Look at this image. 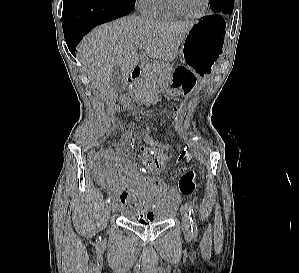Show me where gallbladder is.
Segmentation results:
<instances>
[{
  "instance_id": "1",
  "label": "gallbladder",
  "mask_w": 299,
  "mask_h": 273,
  "mask_svg": "<svg viewBox=\"0 0 299 273\" xmlns=\"http://www.w3.org/2000/svg\"><path fill=\"white\" fill-rule=\"evenodd\" d=\"M122 74H123V71L121 70L120 67H116L114 69L111 85H112V88L114 90H117L118 92H119V90H121V86L124 83L123 79H122Z\"/></svg>"
}]
</instances>
